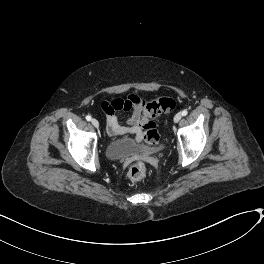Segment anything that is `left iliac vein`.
<instances>
[{
	"instance_id": "4c4485c4",
	"label": "left iliac vein",
	"mask_w": 264,
	"mask_h": 264,
	"mask_svg": "<svg viewBox=\"0 0 264 264\" xmlns=\"http://www.w3.org/2000/svg\"><path fill=\"white\" fill-rule=\"evenodd\" d=\"M182 117V114L181 113H177L175 116H174V122L175 123H178L180 121Z\"/></svg>"
}]
</instances>
